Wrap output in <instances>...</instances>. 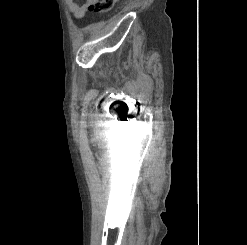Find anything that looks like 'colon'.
I'll list each match as a JSON object with an SVG mask.
<instances>
[{
	"instance_id": "5ec220e1",
	"label": "colon",
	"mask_w": 247,
	"mask_h": 245,
	"mask_svg": "<svg viewBox=\"0 0 247 245\" xmlns=\"http://www.w3.org/2000/svg\"><path fill=\"white\" fill-rule=\"evenodd\" d=\"M117 0H93L89 5V9L95 13L109 12L115 5Z\"/></svg>"
}]
</instances>
